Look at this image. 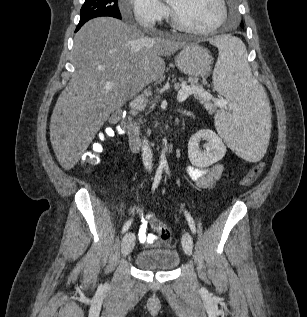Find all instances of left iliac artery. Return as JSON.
Masks as SVG:
<instances>
[{"label":"left iliac artery","mask_w":307,"mask_h":317,"mask_svg":"<svg viewBox=\"0 0 307 317\" xmlns=\"http://www.w3.org/2000/svg\"><path fill=\"white\" fill-rule=\"evenodd\" d=\"M166 172L170 175L168 167L166 168ZM185 216H186V219L188 221V224L190 226L192 233L195 234L196 228H195V223H194L193 218L191 217V215L187 211H185Z\"/></svg>","instance_id":"1"}]
</instances>
